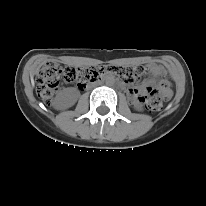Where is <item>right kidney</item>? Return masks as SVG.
Returning a JSON list of instances; mask_svg holds the SVG:
<instances>
[{"label": "right kidney", "mask_w": 206, "mask_h": 206, "mask_svg": "<svg viewBox=\"0 0 206 206\" xmlns=\"http://www.w3.org/2000/svg\"><path fill=\"white\" fill-rule=\"evenodd\" d=\"M76 101V97L69 91H62L56 97V107L59 109H66L71 107Z\"/></svg>", "instance_id": "ca27d5eb"}]
</instances>
